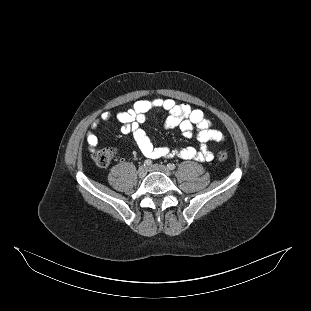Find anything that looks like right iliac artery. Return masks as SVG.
<instances>
[{
  "instance_id": "1",
  "label": "right iliac artery",
  "mask_w": 311,
  "mask_h": 311,
  "mask_svg": "<svg viewBox=\"0 0 311 311\" xmlns=\"http://www.w3.org/2000/svg\"><path fill=\"white\" fill-rule=\"evenodd\" d=\"M152 165V161L151 160H145V162H144V166L146 167H148V166H151Z\"/></svg>"
}]
</instances>
